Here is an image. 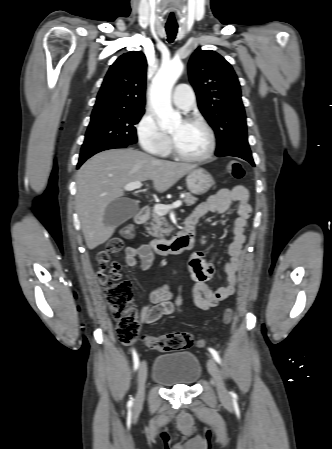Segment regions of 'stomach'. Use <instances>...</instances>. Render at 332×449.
I'll list each match as a JSON object with an SVG mask.
<instances>
[{"label":"stomach","mask_w":332,"mask_h":449,"mask_svg":"<svg viewBox=\"0 0 332 449\" xmlns=\"http://www.w3.org/2000/svg\"><path fill=\"white\" fill-rule=\"evenodd\" d=\"M186 183L192 194L202 195L213 186L214 180L205 169L196 168L188 173Z\"/></svg>","instance_id":"obj_1"}]
</instances>
